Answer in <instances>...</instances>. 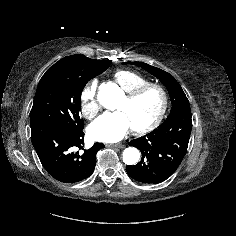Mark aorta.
<instances>
[{"label": "aorta", "mask_w": 236, "mask_h": 236, "mask_svg": "<svg viewBox=\"0 0 236 236\" xmlns=\"http://www.w3.org/2000/svg\"><path fill=\"white\" fill-rule=\"evenodd\" d=\"M122 96L121 89L112 84L108 87L101 89L98 92L99 102L107 109H112L113 104ZM140 159V152L134 147L126 148L123 151V161L127 165H134Z\"/></svg>", "instance_id": "aorta-1"}]
</instances>
